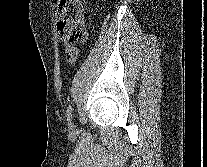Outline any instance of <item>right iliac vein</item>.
I'll list each match as a JSON object with an SVG mask.
<instances>
[{
    "mask_svg": "<svg viewBox=\"0 0 207 167\" xmlns=\"http://www.w3.org/2000/svg\"><path fill=\"white\" fill-rule=\"evenodd\" d=\"M69 130H70L71 132H74V130H75V126H74L73 123H70V125H69Z\"/></svg>",
    "mask_w": 207,
    "mask_h": 167,
    "instance_id": "obj_1",
    "label": "right iliac vein"
}]
</instances>
